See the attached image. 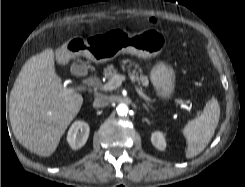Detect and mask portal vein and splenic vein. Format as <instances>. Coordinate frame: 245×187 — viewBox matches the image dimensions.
<instances>
[{"label": "portal vein and splenic vein", "instance_id": "1", "mask_svg": "<svg viewBox=\"0 0 245 187\" xmlns=\"http://www.w3.org/2000/svg\"><path fill=\"white\" fill-rule=\"evenodd\" d=\"M125 80V76L124 75H119V74H115L111 80H109L108 83L100 86V89L101 90H104V91H110V90H114L116 88H118L119 86H121L122 82ZM131 80L134 81V78L131 77ZM135 87V90L137 91V93L142 97L144 98L147 102H152V100L143 93L142 89L139 88L137 85L134 86ZM176 104L180 105L181 107L183 108H188V105L186 102H184L183 100H179V99H176L174 101Z\"/></svg>", "mask_w": 245, "mask_h": 187}]
</instances>
